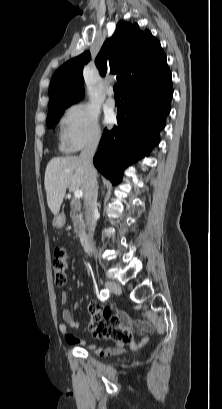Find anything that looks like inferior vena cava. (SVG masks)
I'll return each mask as SVG.
<instances>
[{
	"label": "inferior vena cava",
	"instance_id": "602c4592",
	"mask_svg": "<svg viewBox=\"0 0 222 409\" xmlns=\"http://www.w3.org/2000/svg\"><path fill=\"white\" fill-rule=\"evenodd\" d=\"M98 143L99 137L91 139L79 156V159L81 160L85 169V178L83 182L85 219L90 238L94 235L98 215V182L97 172L93 165V157L96 152Z\"/></svg>",
	"mask_w": 222,
	"mask_h": 409
}]
</instances>
